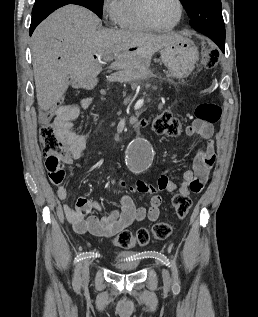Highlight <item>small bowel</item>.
<instances>
[{"mask_svg": "<svg viewBox=\"0 0 258 317\" xmlns=\"http://www.w3.org/2000/svg\"><path fill=\"white\" fill-rule=\"evenodd\" d=\"M92 100L84 98L78 105L63 104L55 112V126L63 139L65 146L71 154V158L79 160L82 158L85 147L86 137L77 133L72 127V121L75 120L82 109H86ZM149 124L148 120L140 122L141 127ZM187 137L199 136L206 141L205 145L196 151L192 168L183 173V182L178 187L175 182L169 179L167 171H164L158 178L157 184L152 185L144 181H138L130 189L135 192L151 195L147 208L137 207L129 195L122 196L118 209L111 211L108 215L97 216L94 212L101 210L99 203L91 201L86 197H79L73 205L64 204L63 211L75 232L79 234L90 233L94 236L111 237L115 236L125 228L135 222L144 220L156 221L160 214V205L162 197L160 191L168 192L179 191L180 194L189 195L190 193H199L209 178V172L212 169L216 155L214 143L212 140V125L202 120L196 119L185 130ZM70 157L62 158L59 156H49L46 160V168L52 184L56 186V193L60 200L68 197L66 187V171L64 165L71 162ZM76 166H79L76 163ZM120 187H125L123 181H119Z\"/></svg>", "mask_w": 258, "mask_h": 317, "instance_id": "small-bowel-1", "label": "small bowel"}]
</instances>
